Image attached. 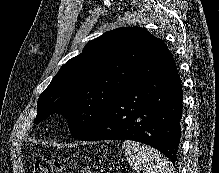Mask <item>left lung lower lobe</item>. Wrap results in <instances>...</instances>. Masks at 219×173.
Segmentation results:
<instances>
[{
	"mask_svg": "<svg viewBox=\"0 0 219 173\" xmlns=\"http://www.w3.org/2000/svg\"><path fill=\"white\" fill-rule=\"evenodd\" d=\"M137 78L79 139L139 141L161 151L174 165L181 135L183 92L165 43L144 63Z\"/></svg>",
	"mask_w": 219,
	"mask_h": 173,
	"instance_id": "0a47b994",
	"label": "left lung lower lobe"
}]
</instances>
